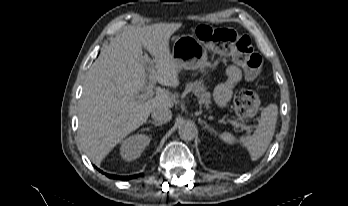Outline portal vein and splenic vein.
<instances>
[{"label": "portal vein and splenic vein", "instance_id": "18ae733b", "mask_svg": "<svg viewBox=\"0 0 348 206\" xmlns=\"http://www.w3.org/2000/svg\"><path fill=\"white\" fill-rule=\"evenodd\" d=\"M155 84H156V78L154 76L150 75L149 76V83L146 86V88L144 89L143 93L140 95L139 99L140 100H145L148 97H152L153 96V88H154ZM227 122L231 123L232 125H234L236 127L240 126L239 123H237L235 121H232V120H229V119L227 120Z\"/></svg>", "mask_w": 348, "mask_h": 206}]
</instances>
